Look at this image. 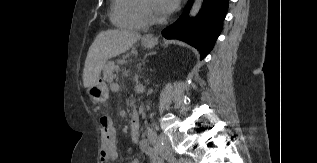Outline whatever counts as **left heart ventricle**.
I'll return each instance as SVG.
<instances>
[{
    "label": "left heart ventricle",
    "instance_id": "left-heart-ventricle-1",
    "mask_svg": "<svg viewBox=\"0 0 317 163\" xmlns=\"http://www.w3.org/2000/svg\"><path fill=\"white\" fill-rule=\"evenodd\" d=\"M145 1L147 3L148 7L153 12V14H155L156 16H159V17L164 16V14L159 10L156 0H145Z\"/></svg>",
    "mask_w": 317,
    "mask_h": 163
}]
</instances>
